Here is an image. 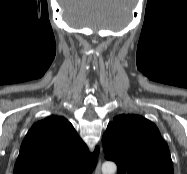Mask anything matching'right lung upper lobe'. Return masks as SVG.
Returning a JSON list of instances; mask_svg holds the SVG:
<instances>
[{
	"label": "right lung upper lobe",
	"mask_w": 187,
	"mask_h": 174,
	"mask_svg": "<svg viewBox=\"0 0 187 174\" xmlns=\"http://www.w3.org/2000/svg\"><path fill=\"white\" fill-rule=\"evenodd\" d=\"M98 151L89 154L72 124L51 116L35 123L24 138L14 174H91Z\"/></svg>",
	"instance_id": "cb5924a9"
}]
</instances>
